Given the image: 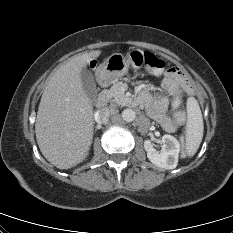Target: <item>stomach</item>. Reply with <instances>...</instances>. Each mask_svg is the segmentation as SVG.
I'll return each mask as SVG.
<instances>
[{"label":"stomach","mask_w":233,"mask_h":233,"mask_svg":"<svg viewBox=\"0 0 233 233\" xmlns=\"http://www.w3.org/2000/svg\"><path fill=\"white\" fill-rule=\"evenodd\" d=\"M144 52L140 49L130 50L126 56L113 53L99 67L98 76L104 82H112L128 73L130 67L140 69L143 65Z\"/></svg>","instance_id":"1"}]
</instances>
